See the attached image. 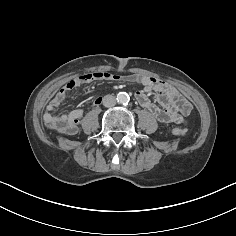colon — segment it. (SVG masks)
Returning a JSON list of instances; mask_svg holds the SVG:
<instances>
[{
    "mask_svg": "<svg viewBox=\"0 0 236 236\" xmlns=\"http://www.w3.org/2000/svg\"><path fill=\"white\" fill-rule=\"evenodd\" d=\"M109 75H110V73H108V72H102V73L99 74V76L105 77V78L108 77ZM174 133L177 134V135H184V131H182L180 129H175Z\"/></svg>",
    "mask_w": 236,
    "mask_h": 236,
    "instance_id": "5ec220e1",
    "label": "colon"
}]
</instances>
